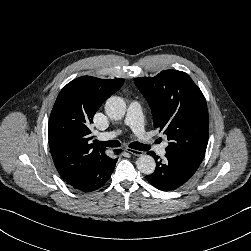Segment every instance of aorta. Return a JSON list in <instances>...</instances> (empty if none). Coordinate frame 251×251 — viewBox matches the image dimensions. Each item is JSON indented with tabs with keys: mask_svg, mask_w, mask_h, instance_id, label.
I'll return each instance as SVG.
<instances>
[{
	"mask_svg": "<svg viewBox=\"0 0 251 251\" xmlns=\"http://www.w3.org/2000/svg\"><path fill=\"white\" fill-rule=\"evenodd\" d=\"M105 112L112 120H121L126 113V103L121 97L112 96L105 104ZM138 170L145 174L150 175L155 171L156 163L152 156L142 155L136 162Z\"/></svg>",
	"mask_w": 251,
	"mask_h": 251,
	"instance_id": "1",
	"label": "aorta"
}]
</instances>
